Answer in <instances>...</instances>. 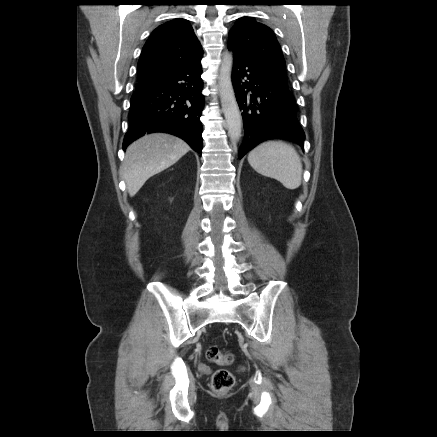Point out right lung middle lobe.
<instances>
[{
    "mask_svg": "<svg viewBox=\"0 0 437 437\" xmlns=\"http://www.w3.org/2000/svg\"><path fill=\"white\" fill-rule=\"evenodd\" d=\"M145 84H147V83H138L137 86H136V89L144 86Z\"/></svg>",
    "mask_w": 437,
    "mask_h": 437,
    "instance_id": "right-lung-middle-lobe-1",
    "label": "right lung middle lobe"
}]
</instances>
